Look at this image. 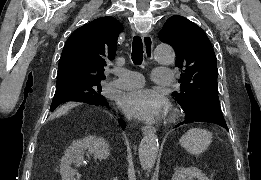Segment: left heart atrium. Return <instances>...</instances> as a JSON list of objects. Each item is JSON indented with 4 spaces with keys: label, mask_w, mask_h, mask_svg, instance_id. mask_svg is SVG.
I'll list each match as a JSON object with an SVG mask.
<instances>
[{
    "label": "left heart atrium",
    "mask_w": 261,
    "mask_h": 180,
    "mask_svg": "<svg viewBox=\"0 0 261 180\" xmlns=\"http://www.w3.org/2000/svg\"><path fill=\"white\" fill-rule=\"evenodd\" d=\"M119 104L130 116L138 119H152L164 111L167 98L159 90L139 88L121 93Z\"/></svg>",
    "instance_id": "left-heart-atrium-1"
}]
</instances>
